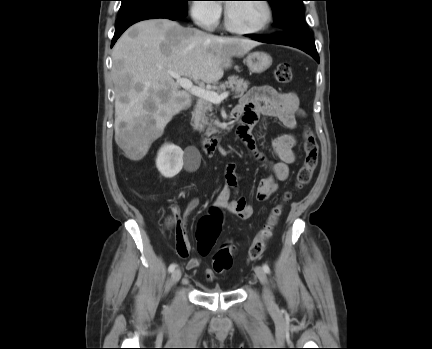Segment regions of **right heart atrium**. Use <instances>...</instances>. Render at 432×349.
Returning <instances> with one entry per match:
<instances>
[{
  "mask_svg": "<svg viewBox=\"0 0 432 349\" xmlns=\"http://www.w3.org/2000/svg\"><path fill=\"white\" fill-rule=\"evenodd\" d=\"M221 13V5L215 0H193L190 3V14L193 20L207 29L218 24Z\"/></svg>",
  "mask_w": 432,
  "mask_h": 349,
  "instance_id": "right-heart-atrium-1",
  "label": "right heart atrium"
}]
</instances>
